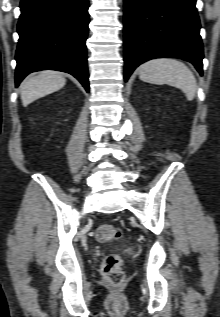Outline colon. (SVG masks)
I'll return each instance as SVG.
<instances>
[{"mask_svg": "<svg viewBox=\"0 0 220 317\" xmlns=\"http://www.w3.org/2000/svg\"><path fill=\"white\" fill-rule=\"evenodd\" d=\"M120 230L110 224H102L96 230V238L101 242H111L119 239ZM102 278L111 286H119L125 281L122 260L118 254H108L104 257L100 267Z\"/></svg>", "mask_w": 220, "mask_h": 317, "instance_id": "obj_1", "label": "colon"}]
</instances>
